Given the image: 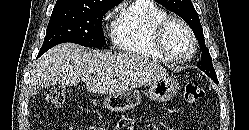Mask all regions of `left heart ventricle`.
I'll list each match as a JSON object with an SVG mask.
<instances>
[{
	"instance_id": "1",
	"label": "left heart ventricle",
	"mask_w": 249,
	"mask_h": 130,
	"mask_svg": "<svg viewBox=\"0 0 249 130\" xmlns=\"http://www.w3.org/2000/svg\"><path fill=\"white\" fill-rule=\"evenodd\" d=\"M165 45L168 52L176 58H184L191 51V41L183 29L177 23H173L167 30Z\"/></svg>"
}]
</instances>
